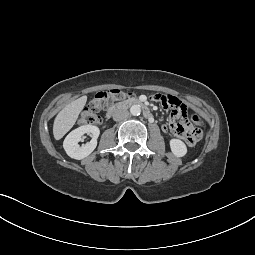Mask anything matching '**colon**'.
I'll list each match as a JSON object with an SVG mask.
<instances>
[{
	"label": "colon",
	"instance_id": "1",
	"mask_svg": "<svg viewBox=\"0 0 255 255\" xmlns=\"http://www.w3.org/2000/svg\"><path fill=\"white\" fill-rule=\"evenodd\" d=\"M126 97V93L123 92L120 89H110L108 91L104 92H98L92 101L89 103V105L83 110L80 116V123L83 125H95L100 122V117L98 116V113L102 110L105 109V107L110 103V102H116V101H121ZM152 98L162 102V100L166 97H169L173 100L174 105H178V101L169 96V95H151ZM187 117H189L190 121H192L193 125L196 126L195 124H200L201 120L197 115H189L187 113V110H185ZM197 128V133H198V142L202 138V130L200 127L196 126Z\"/></svg>",
	"mask_w": 255,
	"mask_h": 255
}]
</instances>
